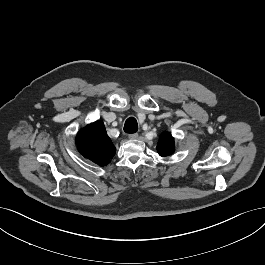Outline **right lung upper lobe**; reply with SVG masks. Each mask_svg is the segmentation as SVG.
Instances as JSON below:
<instances>
[{"label": "right lung upper lobe", "mask_w": 265, "mask_h": 265, "mask_svg": "<svg viewBox=\"0 0 265 265\" xmlns=\"http://www.w3.org/2000/svg\"><path fill=\"white\" fill-rule=\"evenodd\" d=\"M76 144L83 157L99 166L107 165L115 154V147L102 121H96L81 129L76 136Z\"/></svg>", "instance_id": "right-lung-upper-lobe-1"}]
</instances>
